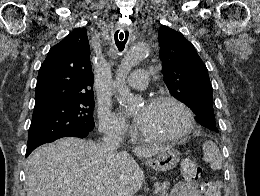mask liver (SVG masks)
I'll return each mask as SVG.
<instances>
[{"instance_id":"6515ba94","label":"liver","mask_w":260,"mask_h":196,"mask_svg":"<svg viewBox=\"0 0 260 196\" xmlns=\"http://www.w3.org/2000/svg\"><path fill=\"white\" fill-rule=\"evenodd\" d=\"M163 146L134 148L137 158H152ZM27 196H134L145 180L128 152L109 154L105 146L61 138L34 150L26 160Z\"/></svg>"}]
</instances>
